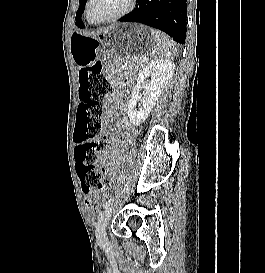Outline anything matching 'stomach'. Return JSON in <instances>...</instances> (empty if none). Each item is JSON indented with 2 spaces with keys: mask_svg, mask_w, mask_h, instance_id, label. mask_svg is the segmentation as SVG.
<instances>
[{
  "mask_svg": "<svg viewBox=\"0 0 265 273\" xmlns=\"http://www.w3.org/2000/svg\"><path fill=\"white\" fill-rule=\"evenodd\" d=\"M105 49H129V51H101ZM157 45L156 30H149V25H106V30H98V35L90 36L75 32L71 36L70 51L79 66L92 63L101 56H116L106 59V64H129L135 56H152Z\"/></svg>",
  "mask_w": 265,
  "mask_h": 273,
  "instance_id": "stomach-1",
  "label": "stomach"
}]
</instances>
